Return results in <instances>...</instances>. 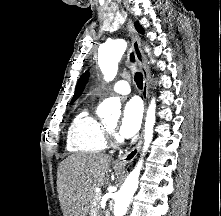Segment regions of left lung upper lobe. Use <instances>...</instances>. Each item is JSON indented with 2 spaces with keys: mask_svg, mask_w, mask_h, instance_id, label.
Wrapping results in <instances>:
<instances>
[{
  "mask_svg": "<svg viewBox=\"0 0 221 216\" xmlns=\"http://www.w3.org/2000/svg\"><path fill=\"white\" fill-rule=\"evenodd\" d=\"M135 27H136L138 32L143 33V29L138 23L135 24ZM88 78H89V73L88 72L84 73L80 77V79L78 81V84H77V87H76V90H75V94H74L73 99H72V102H74L81 95Z\"/></svg>",
  "mask_w": 221,
  "mask_h": 216,
  "instance_id": "obj_1",
  "label": "left lung upper lobe"
}]
</instances>
